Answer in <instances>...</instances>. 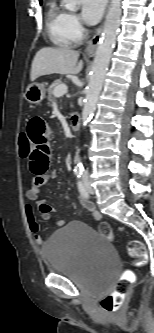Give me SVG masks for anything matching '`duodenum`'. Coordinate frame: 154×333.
I'll return each instance as SVG.
<instances>
[{
    "label": "duodenum",
    "instance_id": "obj_1",
    "mask_svg": "<svg viewBox=\"0 0 154 333\" xmlns=\"http://www.w3.org/2000/svg\"><path fill=\"white\" fill-rule=\"evenodd\" d=\"M81 115L79 112H72L70 117V126L73 131H78L81 127Z\"/></svg>",
    "mask_w": 154,
    "mask_h": 333
}]
</instances>
